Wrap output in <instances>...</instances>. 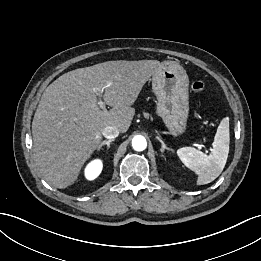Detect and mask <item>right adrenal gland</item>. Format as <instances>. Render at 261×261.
<instances>
[{"instance_id": "obj_1", "label": "right adrenal gland", "mask_w": 261, "mask_h": 261, "mask_svg": "<svg viewBox=\"0 0 261 261\" xmlns=\"http://www.w3.org/2000/svg\"><path fill=\"white\" fill-rule=\"evenodd\" d=\"M114 140H105V141H103L99 146H98V148H97V151L99 152L102 148H103V146H107V149H109L110 148V143L111 142H113Z\"/></svg>"}]
</instances>
